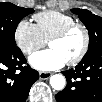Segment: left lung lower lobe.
Here are the masks:
<instances>
[{
	"instance_id": "1",
	"label": "left lung lower lobe",
	"mask_w": 102,
	"mask_h": 102,
	"mask_svg": "<svg viewBox=\"0 0 102 102\" xmlns=\"http://www.w3.org/2000/svg\"><path fill=\"white\" fill-rule=\"evenodd\" d=\"M67 79L65 89L56 94L58 102L102 101V51L85 55L75 67L62 72Z\"/></svg>"
}]
</instances>
